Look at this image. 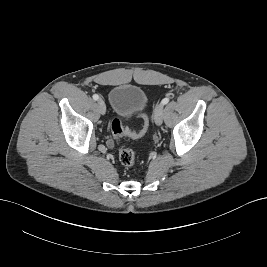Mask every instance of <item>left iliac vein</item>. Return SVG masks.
Listing matches in <instances>:
<instances>
[{"mask_svg": "<svg viewBox=\"0 0 267 267\" xmlns=\"http://www.w3.org/2000/svg\"><path fill=\"white\" fill-rule=\"evenodd\" d=\"M163 117H164V107L163 104H159L156 106L154 113H153V118L154 121L157 125H161L163 122Z\"/></svg>", "mask_w": 267, "mask_h": 267, "instance_id": "4c4485c4", "label": "left iliac vein"}]
</instances>
